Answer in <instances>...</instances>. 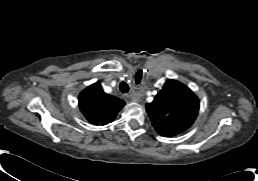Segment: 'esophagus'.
Instances as JSON below:
<instances>
[{
  "instance_id": "34e87169",
  "label": "esophagus",
  "mask_w": 258,
  "mask_h": 181,
  "mask_svg": "<svg viewBox=\"0 0 258 181\" xmlns=\"http://www.w3.org/2000/svg\"><path fill=\"white\" fill-rule=\"evenodd\" d=\"M129 98H131L133 101H139L140 96L138 93L132 92L128 95Z\"/></svg>"
}]
</instances>
